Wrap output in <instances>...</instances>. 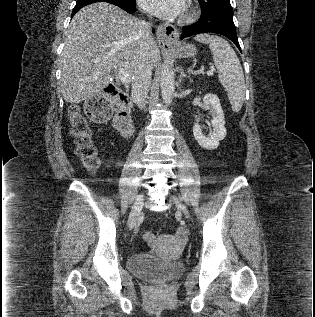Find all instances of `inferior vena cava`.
I'll list each match as a JSON object with an SVG mask.
<instances>
[{
  "instance_id": "inferior-vena-cava-1",
  "label": "inferior vena cava",
  "mask_w": 315,
  "mask_h": 317,
  "mask_svg": "<svg viewBox=\"0 0 315 317\" xmlns=\"http://www.w3.org/2000/svg\"><path fill=\"white\" fill-rule=\"evenodd\" d=\"M150 22L141 21L142 41L140 44V65L132 77V99L139 108L145 106L150 89L151 67L148 64L147 47L153 39Z\"/></svg>"
}]
</instances>
